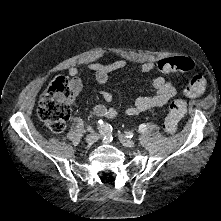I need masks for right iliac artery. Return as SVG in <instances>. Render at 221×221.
Listing matches in <instances>:
<instances>
[{
    "label": "right iliac artery",
    "mask_w": 221,
    "mask_h": 221,
    "mask_svg": "<svg viewBox=\"0 0 221 221\" xmlns=\"http://www.w3.org/2000/svg\"><path fill=\"white\" fill-rule=\"evenodd\" d=\"M99 123H100L99 128L104 135H107L111 132V127L108 123H103L102 120H100ZM87 130L93 132V129L90 126H87Z\"/></svg>",
    "instance_id": "82829eb1"
}]
</instances>
